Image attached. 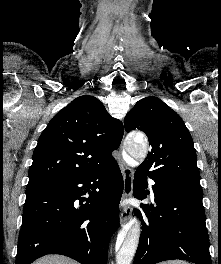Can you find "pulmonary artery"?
Here are the masks:
<instances>
[{
  "label": "pulmonary artery",
  "mask_w": 221,
  "mask_h": 264,
  "mask_svg": "<svg viewBox=\"0 0 221 264\" xmlns=\"http://www.w3.org/2000/svg\"><path fill=\"white\" fill-rule=\"evenodd\" d=\"M150 184L152 185L153 184V181H150Z\"/></svg>",
  "instance_id": "e3ab8cb5"
}]
</instances>
